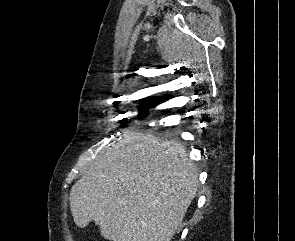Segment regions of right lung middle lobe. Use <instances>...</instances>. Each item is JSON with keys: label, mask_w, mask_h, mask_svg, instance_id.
<instances>
[{"label": "right lung middle lobe", "mask_w": 295, "mask_h": 241, "mask_svg": "<svg viewBox=\"0 0 295 241\" xmlns=\"http://www.w3.org/2000/svg\"><path fill=\"white\" fill-rule=\"evenodd\" d=\"M147 115V112L140 110V113L138 114V118L142 119L143 117H145Z\"/></svg>", "instance_id": "obj_1"}]
</instances>
